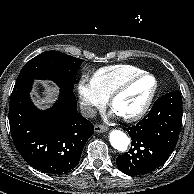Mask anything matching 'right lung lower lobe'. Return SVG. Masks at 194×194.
Listing matches in <instances>:
<instances>
[{
    "label": "right lung lower lobe",
    "mask_w": 194,
    "mask_h": 194,
    "mask_svg": "<svg viewBox=\"0 0 194 194\" xmlns=\"http://www.w3.org/2000/svg\"><path fill=\"white\" fill-rule=\"evenodd\" d=\"M32 83H15L10 97L9 123L15 147L30 166L41 172H71L94 133L93 125L78 114L72 89L60 88L55 105L47 111L38 110L29 95Z\"/></svg>",
    "instance_id": "right-lung-lower-lobe-1"
}]
</instances>
